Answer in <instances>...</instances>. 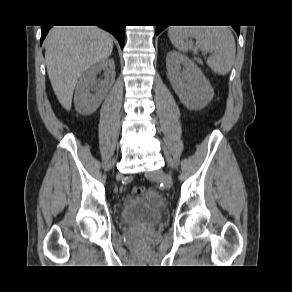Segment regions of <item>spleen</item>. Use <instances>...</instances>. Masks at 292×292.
I'll return each instance as SVG.
<instances>
[{
	"label": "spleen",
	"instance_id": "spleen-1",
	"mask_svg": "<svg viewBox=\"0 0 292 292\" xmlns=\"http://www.w3.org/2000/svg\"><path fill=\"white\" fill-rule=\"evenodd\" d=\"M168 36L173 46L181 52L198 49L208 50L212 54L207 59V65L218 75L230 72L236 55L235 39L231 31L225 27H178L172 26ZM188 38L196 39L193 47Z\"/></svg>",
	"mask_w": 292,
	"mask_h": 292
}]
</instances>
